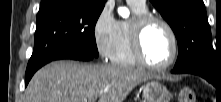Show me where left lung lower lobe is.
I'll use <instances>...</instances> for the list:
<instances>
[{
  "mask_svg": "<svg viewBox=\"0 0 221 102\" xmlns=\"http://www.w3.org/2000/svg\"><path fill=\"white\" fill-rule=\"evenodd\" d=\"M172 73L181 74V73H191L199 75L203 78H205L208 82L212 83L213 85H218L219 80L218 77L210 72L207 69H204L202 67L198 66H189V67H183V68H174L172 70Z\"/></svg>",
  "mask_w": 221,
  "mask_h": 102,
  "instance_id": "0a47b994",
  "label": "left lung lower lobe"
}]
</instances>
